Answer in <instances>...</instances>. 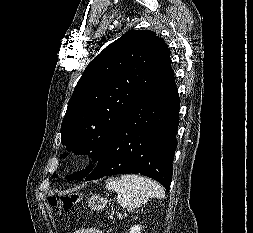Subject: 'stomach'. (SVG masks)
<instances>
[{"mask_svg": "<svg viewBox=\"0 0 253 233\" xmlns=\"http://www.w3.org/2000/svg\"><path fill=\"white\" fill-rule=\"evenodd\" d=\"M87 203L90 209L102 211L105 208L107 201L98 195H93L88 199Z\"/></svg>", "mask_w": 253, "mask_h": 233, "instance_id": "0dacf381", "label": "stomach"}]
</instances>
